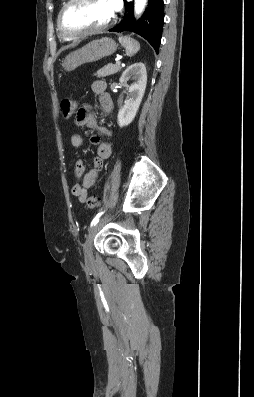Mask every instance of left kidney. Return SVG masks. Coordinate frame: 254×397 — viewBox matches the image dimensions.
<instances>
[{
	"label": "left kidney",
	"mask_w": 254,
	"mask_h": 397,
	"mask_svg": "<svg viewBox=\"0 0 254 397\" xmlns=\"http://www.w3.org/2000/svg\"><path fill=\"white\" fill-rule=\"evenodd\" d=\"M135 80L132 85H127L129 77ZM120 83L128 90L129 97L124 106L119 110L117 121L120 127L129 125L136 116L141 104L147 84V72L143 63L138 62L129 66L119 79Z\"/></svg>",
	"instance_id": "5707ae66"
}]
</instances>
